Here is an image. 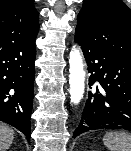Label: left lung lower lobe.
Here are the masks:
<instances>
[{"label": "left lung lower lobe", "mask_w": 131, "mask_h": 151, "mask_svg": "<svg viewBox=\"0 0 131 151\" xmlns=\"http://www.w3.org/2000/svg\"><path fill=\"white\" fill-rule=\"evenodd\" d=\"M75 41L82 47L92 90L73 138L91 130L131 131V62L92 46L76 34Z\"/></svg>", "instance_id": "0a47b994"}]
</instances>
